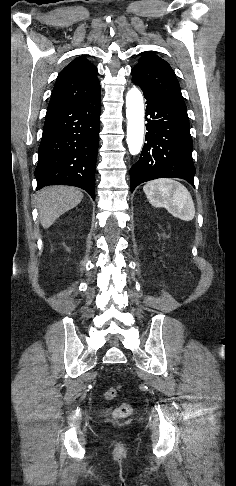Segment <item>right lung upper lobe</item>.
<instances>
[{
    "instance_id": "1",
    "label": "right lung upper lobe",
    "mask_w": 236,
    "mask_h": 486,
    "mask_svg": "<svg viewBox=\"0 0 236 486\" xmlns=\"http://www.w3.org/2000/svg\"><path fill=\"white\" fill-rule=\"evenodd\" d=\"M98 95L100 84L96 67L84 56L77 57L59 73L48 109L93 99Z\"/></svg>"
}]
</instances>
